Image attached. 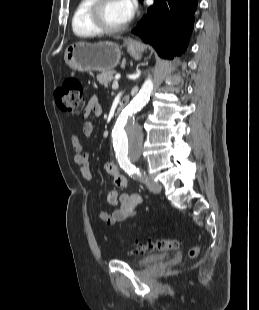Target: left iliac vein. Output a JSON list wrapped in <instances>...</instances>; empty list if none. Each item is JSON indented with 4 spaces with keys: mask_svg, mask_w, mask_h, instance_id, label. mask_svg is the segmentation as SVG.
I'll return each instance as SVG.
<instances>
[{
    "mask_svg": "<svg viewBox=\"0 0 259 310\" xmlns=\"http://www.w3.org/2000/svg\"><path fill=\"white\" fill-rule=\"evenodd\" d=\"M143 180H144V182H145L147 188H148L151 192H153V193H155V194L160 193V191H161V186H160V184H159L158 182L152 180V179H151L149 176H147V175L144 176Z\"/></svg>",
    "mask_w": 259,
    "mask_h": 310,
    "instance_id": "1",
    "label": "left iliac vein"
}]
</instances>
